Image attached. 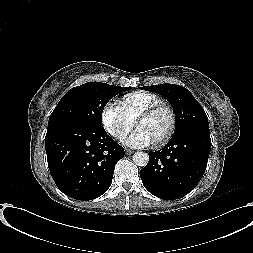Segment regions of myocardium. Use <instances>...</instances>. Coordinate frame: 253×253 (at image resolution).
I'll list each match as a JSON object with an SVG mask.
<instances>
[{
	"label": "myocardium",
	"instance_id": "obj_1",
	"mask_svg": "<svg viewBox=\"0 0 253 253\" xmlns=\"http://www.w3.org/2000/svg\"><path fill=\"white\" fill-rule=\"evenodd\" d=\"M162 110H165L169 113L170 123H169V127L166 133L155 143L156 146H162L166 144L174 135L176 125H177V116L174 109L170 105L160 102L158 104L152 105L144 109L143 111H141L136 119V125H137V122L139 119L151 117Z\"/></svg>",
	"mask_w": 253,
	"mask_h": 253
}]
</instances>
